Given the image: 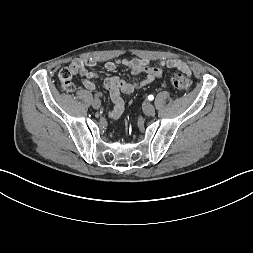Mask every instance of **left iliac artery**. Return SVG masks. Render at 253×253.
<instances>
[{
	"label": "left iliac artery",
	"instance_id": "obj_1",
	"mask_svg": "<svg viewBox=\"0 0 253 253\" xmlns=\"http://www.w3.org/2000/svg\"><path fill=\"white\" fill-rule=\"evenodd\" d=\"M148 99H149V100H153V99H154V96H153V95H149V96H148Z\"/></svg>",
	"mask_w": 253,
	"mask_h": 253
}]
</instances>
